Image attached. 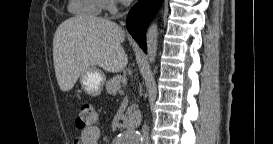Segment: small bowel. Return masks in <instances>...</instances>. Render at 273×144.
I'll list each match as a JSON object with an SVG mask.
<instances>
[{"label":"small bowel","mask_w":273,"mask_h":144,"mask_svg":"<svg viewBox=\"0 0 273 144\" xmlns=\"http://www.w3.org/2000/svg\"><path fill=\"white\" fill-rule=\"evenodd\" d=\"M100 136L101 133L98 127L87 128L81 131L73 144H98L100 142Z\"/></svg>","instance_id":"1"}]
</instances>
